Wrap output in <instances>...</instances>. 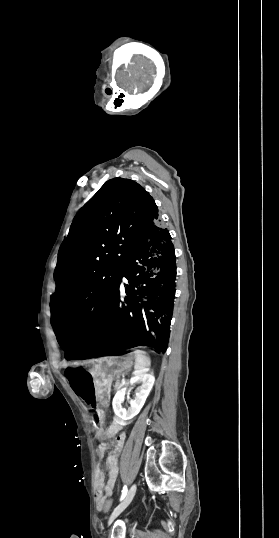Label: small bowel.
<instances>
[{"label":"small bowel","instance_id":"obj_1","mask_svg":"<svg viewBox=\"0 0 279 538\" xmlns=\"http://www.w3.org/2000/svg\"><path fill=\"white\" fill-rule=\"evenodd\" d=\"M66 377L74 394L93 412L92 427L96 438L101 441L97 448L100 457H103L109 449L107 440L115 437L114 450L106 459L107 480L103 470L99 468L96 471L97 501L98 505L102 506L105 498L113 494L118 478V453L126 439L125 432H122L124 424L112 422L107 428L103 427L105 412L97 402L94 379L90 373L83 369H72L68 371Z\"/></svg>","mask_w":279,"mask_h":538}]
</instances>
